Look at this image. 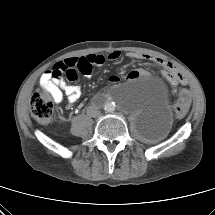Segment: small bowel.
<instances>
[{
	"label": "small bowel",
	"instance_id": "small-bowel-1",
	"mask_svg": "<svg viewBox=\"0 0 215 215\" xmlns=\"http://www.w3.org/2000/svg\"><path fill=\"white\" fill-rule=\"evenodd\" d=\"M127 56L131 59H149L153 60L164 67H167L168 64L159 58H154L152 56L148 55H142L139 53L129 52ZM121 57V52L119 51H112L108 54L107 59L110 61H117ZM106 58L103 55H97V54H89L84 57H74V58H68L64 61L56 64L51 70L45 72L41 79L40 84L43 88H47L55 97L56 102H62L64 95L67 97L69 105L68 107L71 108L72 104L76 103L80 97H81V87L77 84H68L64 81L62 77H54L53 73L56 70H62V68H70L74 67L77 69V74L75 75V78L68 79L70 81H75L78 76V67L80 64L85 63L89 70L87 72H80L86 76H89L92 72V68L95 66H101L105 63ZM146 75V71L143 69H138L130 72L129 78L130 79H136L141 76ZM109 81L111 83H117L119 81V77L116 75H111L109 77Z\"/></svg>",
	"mask_w": 215,
	"mask_h": 215
}]
</instances>
